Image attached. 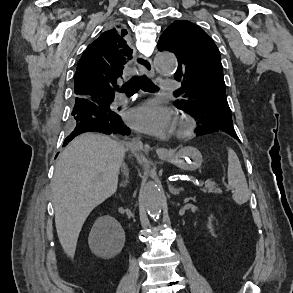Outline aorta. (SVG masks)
<instances>
[{
    "label": "aorta",
    "mask_w": 293,
    "mask_h": 293,
    "mask_svg": "<svg viewBox=\"0 0 293 293\" xmlns=\"http://www.w3.org/2000/svg\"><path fill=\"white\" fill-rule=\"evenodd\" d=\"M156 68L160 73H172L176 68V59L172 53L158 52L155 56ZM142 198L145 208L152 219H158L162 209V194L159 186L147 182L142 189Z\"/></svg>",
    "instance_id": "1"
}]
</instances>
